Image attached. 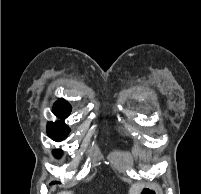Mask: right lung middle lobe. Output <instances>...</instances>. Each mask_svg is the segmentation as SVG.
Returning <instances> with one entry per match:
<instances>
[{
    "label": "right lung middle lobe",
    "mask_w": 201,
    "mask_h": 194,
    "mask_svg": "<svg viewBox=\"0 0 201 194\" xmlns=\"http://www.w3.org/2000/svg\"><path fill=\"white\" fill-rule=\"evenodd\" d=\"M53 113L57 115L58 117H60L61 119H65L67 117L66 114H63L57 111H53ZM69 132H70V129L63 121H58L55 123L50 122L47 125L48 136L57 142L62 141L64 138H66ZM61 152H62L61 150H55L54 154L55 156L59 157L61 155Z\"/></svg>",
    "instance_id": "right-lung-middle-lobe-1"
}]
</instances>
